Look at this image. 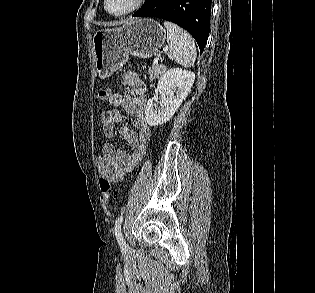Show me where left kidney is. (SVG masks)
Wrapping results in <instances>:
<instances>
[{
  "label": "left kidney",
  "instance_id": "left-kidney-1",
  "mask_svg": "<svg viewBox=\"0 0 315 293\" xmlns=\"http://www.w3.org/2000/svg\"><path fill=\"white\" fill-rule=\"evenodd\" d=\"M195 80L191 71L173 68L164 73L158 82L157 91L162 94L160 110L155 109L156 96L149 99L145 118L149 126H158L169 121L188 96Z\"/></svg>",
  "mask_w": 315,
  "mask_h": 293
}]
</instances>
